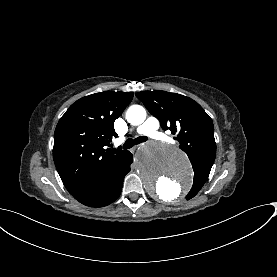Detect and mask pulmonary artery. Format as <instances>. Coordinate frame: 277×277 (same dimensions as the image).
I'll list each match as a JSON object with an SVG mask.
<instances>
[{
	"instance_id": "pulmonary-artery-1",
	"label": "pulmonary artery",
	"mask_w": 277,
	"mask_h": 277,
	"mask_svg": "<svg viewBox=\"0 0 277 277\" xmlns=\"http://www.w3.org/2000/svg\"><path fill=\"white\" fill-rule=\"evenodd\" d=\"M164 122V117L157 114L150 120H147L142 127H138V129L125 134L123 140L126 143H130L132 140L146 135L155 138L157 141H163L166 138V133L159 127L162 126Z\"/></svg>"
}]
</instances>
